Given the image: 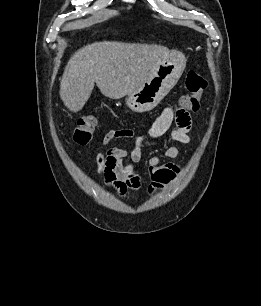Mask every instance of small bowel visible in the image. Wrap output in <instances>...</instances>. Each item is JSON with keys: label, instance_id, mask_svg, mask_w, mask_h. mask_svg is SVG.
Wrapping results in <instances>:
<instances>
[{"label": "small bowel", "instance_id": "c3829d8e", "mask_svg": "<svg viewBox=\"0 0 261 306\" xmlns=\"http://www.w3.org/2000/svg\"><path fill=\"white\" fill-rule=\"evenodd\" d=\"M173 121H175V126L172 127ZM190 129L191 118L187 112L165 108L144 134L135 137L132 151L127 152L117 147L107 150L101 168L105 187L113 188L119 196H124L129 191L139 188L143 175L135 171L133 164L141 160L143 147L164 137L180 144H189ZM130 136H132V132L128 129H113L106 133L104 144ZM179 155L180 149L177 146H170L149 157L146 174L151 179L149 188L151 194H156L164 186L171 184L180 174L179 165L164 162L166 159H175ZM128 157L131 159V163L125 162Z\"/></svg>", "mask_w": 261, "mask_h": 306}]
</instances>
